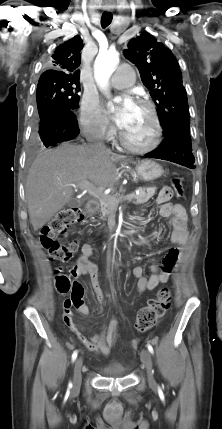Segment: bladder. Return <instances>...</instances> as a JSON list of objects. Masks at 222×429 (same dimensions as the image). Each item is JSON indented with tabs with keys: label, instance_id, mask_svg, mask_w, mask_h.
<instances>
[{
	"label": "bladder",
	"instance_id": "31cf9c89",
	"mask_svg": "<svg viewBox=\"0 0 222 429\" xmlns=\"http://www.w3.org/2000/svg\"><path fill=\"white\" fill-rule=\"evenodd\" d=\"M107 374L113 375V376H123L126 374V370L123 368H118V369L108 371Z\"/></svg>",
	"mask_w": 222,
	"mask_h": 429
}]
</instances>
